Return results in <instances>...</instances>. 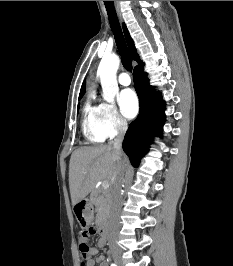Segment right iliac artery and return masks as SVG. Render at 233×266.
<instances>
[{
	"mask_svg": "<svg viewBox=\"0 0 233 266\" xmlns=\"http://www.w3.org/2000/svg\"><path fill=\"white\" fill-rule=\"evenodd\" d=\"M111 266H117V265H115L114 263H112Z\"/></svg>",
	"mask_w": 233,
	"mask_h": 266,
	"instance_id": "1",
	"label": "right iliac artery"
}]
</instances>
